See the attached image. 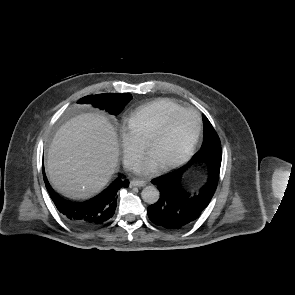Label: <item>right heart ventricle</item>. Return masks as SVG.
I'll return each mask as SVG.
<instances>
[{
    "mask_svg": "<svg viewBox=\"0 0 295 295\" xmlns=\"http://www.w3.org/2000/svg\"><path fill=\"white\" fill-rule=\"evenodd\" d=\"M182 108L180 104L170 99L153 101L138 108L126 118L127 129L144 145L170 114Z\"/></svg>",
    "mask_w": 295,
    "mask_h": 295,
    "instance_id": "obj_1",
    "label": "right heart ventricle"
}]
</instances>
